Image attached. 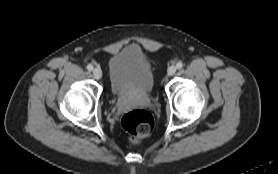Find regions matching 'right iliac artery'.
I'll return each mask as SVG.
<instances>
[{
	"instance_id": "82829eb1",
	"label": "right iliac artery",
	"mask_w": 278,
	"mask_h": 174,
	"mask_svg": "<svg viewBox=\"0 0 278 174\" xmlns=\"http://www.w3.org/2000/svg\"><path fill=\"white\" fill-rule=\"evenodd\" d=\"M87 69H88L89 71H92V70H93V65L88 64V65H87Z\"/></svg>"
}]
</instances>
